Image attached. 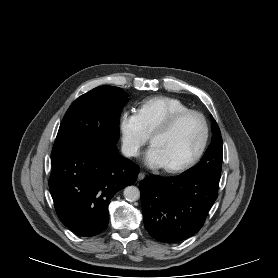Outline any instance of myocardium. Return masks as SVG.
Returning a JSON list of instances; mask_svg holds the SVG:
<instances>
[{
  "mask_svg": "<svg viewBox=\"0 0 278 278\" xmlns=\"http://www.w3.org/2000/svg\"><path fill=\"white\" fill-rule=\"evenodd\" d=\"M188 116H196L200 119V121L202 123V127H203L202 140H201V143H200L197 151L190 158H188L187 160H185L179 164H176V165L164 166L165 171H167L169 173L183 172V171L189 169L190 167H192L193 165H195L199 161V159L203 156V154L207 148V145L209 142V137H210V128H209L207 119L201 112L189 109V110L181 111V112L174 114L169 119H167L165 122H163L162 124L157 126L151 132L150 141L152 143L155 136H157L159 134H164V133L170 132L178 125V123L181 120H183L184 118H186Z\"/></svg>",
  "mask_w": 278,
  "mask_h": 278,
  "instance_id": "myocardium-1",
  "label": "myocardium"
}]
</instances>
